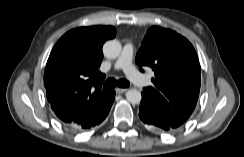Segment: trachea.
<instances>
[{
    "instance_id": "3493384b",
    "label": "trachea",
    "mask_w": 244,
    "mask_h": 157,
    "mask_svg": "<svg viewBox=\"0 0 244 157\" xmlns=\"http://www.w3.org/2000/svg\"><path fill=\"white\" fill-rule=\"evenodd\" d=\"M130 83L126 79L116 80L114 78H109L105 81L103 85L104 90H110L115 88L116 86L121 88L129 87Z\"/></svg>"
}]
</instances>
